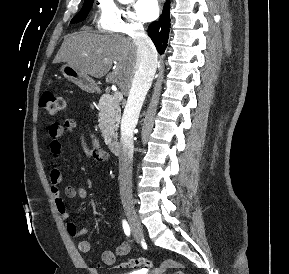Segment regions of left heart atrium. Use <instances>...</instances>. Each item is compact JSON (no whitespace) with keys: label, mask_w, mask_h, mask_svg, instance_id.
I'll return each mask as SVG.
<instances>
[{"label":"left heart atrium","mask_w":289,"mask_h":274,"mask_svg":"<svg viewBox=\"0 0 289 274\" xmlns=\"http://www.w3.org/2000/svg\"><path fill=\"white\" fill-rule=\"evenodd\" d=\"M136 10L143 21L154 20L159 14L158 0H138Z\"/></svg>","instance_id":"39dd6f15"}]
</instances>
